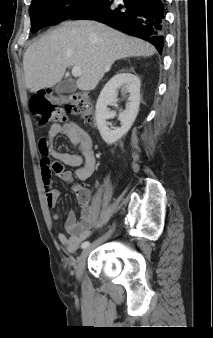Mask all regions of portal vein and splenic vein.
I'll use <instances>...</instances> for the list:
<instances>
[{
  "mask_svg": "<svg viewBox=\"0 0 213 338\" xmlns=\"http://www.w3.org/2000/svg\"><path fill=\"white\" fill-rule=\"evenodd\" d=\"M82 74L81 68L80 67H73L72 68V75L74 77H80Z\"/></svg>",
  "mask_w": 213,
  "mask_h": 338,
  "instance_id": "1",
  "label": "portal vein and splenic vein"
}]
</instances>
